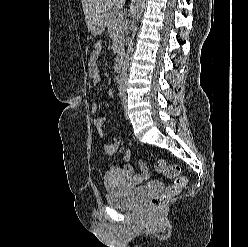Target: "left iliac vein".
Returning a JSON list of instances; mask_svg holds the SVG:
<instances>
[{"label":"left iliac vein","mask_w":248,"mask_h":247,"mask_svg":"<svg viewBox=\"0 0 248 247\" xmlns=\"http://www.w3.org/2000/svg\"><path fill=\"white\" fill-rule=\"evenodd\" d=\"M123 107H124V112H125V116L127 117V96L126 94L123 97Z\"/></svg>","instance_id":"1"}]
</instances>
